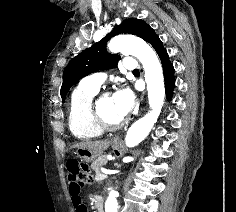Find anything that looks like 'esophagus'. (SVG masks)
Segmentation results:
<instances>
[{
  "label": "esophagus",
  "mask_w": 236,
  "mask_h": 212,
  "mask_svg": "<svg viewBox=\"0 0 236 212\" xmlns=\"http://www.w3.org/2000/svg\"><path fill=\"white\" fill-rule=\"evenodd\" d=\"M113 141H114V142H117V141H119V138H118V137H114V138H113Z\"/></svg>",
  "instance_id": "obj_1"
}]
</instances>
